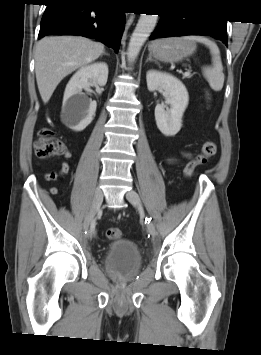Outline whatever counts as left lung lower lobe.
Wrapping results in <instances>:
<instances>
[{"mask_svg":"<svg viewBox=\"0 0 261 355\" xmlns=\"http://www.w3.org/2000/svg\"><path fill=\"white\" fill-rule=\"evenodd\" d=\"M226 20L199 19L176 15H161L150 39L182 35H206L222 41L227 46Z\"/></svg>","mask_w":261,"mask_h":355,"instance_id":"left-lung-lower-lobe-1","label":"left lung lower lobe"}]
</instances>
